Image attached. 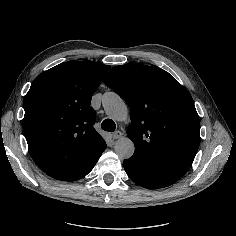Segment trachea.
<instances>
[{
    "mask_svg": "<svg viewBox=\"0 0 236 236\" xmlns=\"http://www.w3.org/2000/svg\"><path fill=\"white\" fill-rule=\"evenodd\" d=\"M101 127L103 130L108 131V132H114L115 131V122L111 119H105L102 124Z\"/></svg>",
    "mask_w": 236,
    "mask_h": 236,
    "instance_id": "trachea-1",
    "label": "trachea"
}]
</instances>
